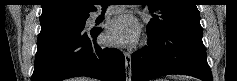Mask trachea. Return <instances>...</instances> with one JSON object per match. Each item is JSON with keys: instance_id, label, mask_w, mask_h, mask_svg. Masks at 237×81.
Listing matches in <instances>:
<instances>
[{"instance_id": "1", "label": "trachea", "mask_w": 237, "mask_h": 81, "mask_svg": "<svg viewBox=\"0 0 237 81\" xmlns=\"http://www.w3.org/2000/svg\"><path fill=\"white\" fill-rule=\"evenodd\" d=\"M120 2H103L102 8L105 9L108 5H119Z\"/></svg>"}]
</instances>
